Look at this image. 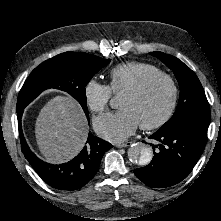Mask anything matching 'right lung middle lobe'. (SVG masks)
<instances>
[{
    "label": "right lung middle lobe",
    "instance_id": "obj_1",
    "mask_svg": "<svg viewBox=\"0 0 221 221\" xmlns=\"http://www.w3.org/2000/svg\"><path fill=\"white\" fill-rule=\"evenodd\" d=\"M109 63L110 59L76 52H65L44 61L23 84L17 100V112L23 111L42 91L55 88L74 97L88 118L85 86L93 75Z\"/></svg>",
    "mask_w": 221,
    "mask_h": 221
}]
</instances>
